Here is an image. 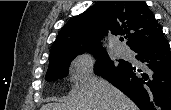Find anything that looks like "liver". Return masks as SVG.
<instances>
[{"label": "liver", "mask_w": 171, "mask_h": 110, "mask_svg": "<svg viewBox=\"0 0 171 110\" xmlns=\"http://www.w3.org/2000/svg\"><path fill=\"white\" fill-rule=\"evenodd\" d=\"M41 110H138L121 91L103 79L91 78L76 84L64 103H49Z\"/></svg>", "instance_id": "liver-1"}]
</instances>
